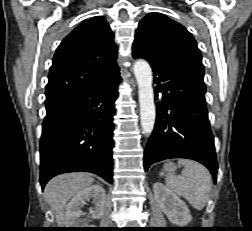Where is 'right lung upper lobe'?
Segmentation results:
<instances>
[{"label":"right lung upper lobe","instance_id":"1","mask_svg":"<svg viewBox=\"0 0 252 231\" xmlns=\"http://www.w3.org/2000/svg\"><path fill=\"white\" fill-rule=\"evenodd\" d=\"M114 35L103 17L83 21L64 38L53 58L46 104L55 105L86 87L119 76Z\"/></svg>","mask_w":252,"mask_h":231}]
</instances>
